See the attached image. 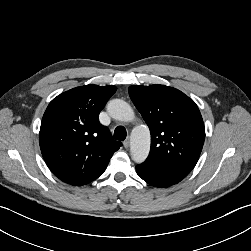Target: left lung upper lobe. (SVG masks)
Listing matches in <instances>:
<instances>
[{"mask_svg":"<svg viewBox=\"0 0 251 251\" xmlns=\"http://www.w3.org/2000/svg\"><path fill=\"white\" fill-rule=\"evenodd\" d=\"M129 95L151 133L145 162L191 171L205 139L203 119L194 101L165 85L130 86Z\"/></svg>","mask_w":251,"mask_h":251,"instance_id":"1","label":"left lung upper lobe"}]
</instances>
